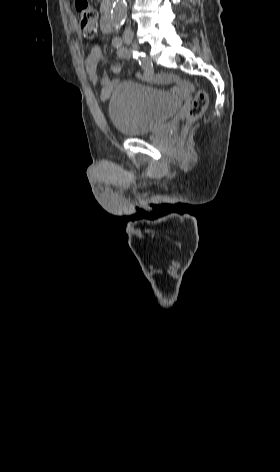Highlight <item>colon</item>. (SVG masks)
<instances>
[{"instance_id": "obj_1", "label": "colon", "mask_w": 280, "mask_h": 472, "mask_svg": "<svg viewBox=\"0 0 280 472\" xmlns=\"http://www.w3.org/2000/svg\"><path fill=\"white\" fill-rule=\"evenodd\" d=\"M75 9L79 17L80 27L85 36L92 38L96 34L97 12L88 0H76ZM208 105L207 93L199 89L195 92L187 113L189 122L198 119Z\"/></svg>"}]
</instances>
